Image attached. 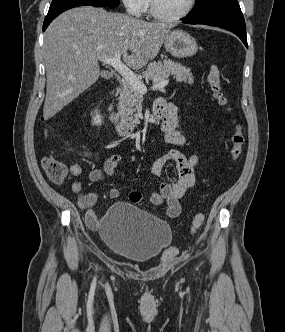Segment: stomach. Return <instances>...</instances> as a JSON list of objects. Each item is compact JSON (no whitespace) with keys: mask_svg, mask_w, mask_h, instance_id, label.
I'll return each mask as SVG.
<instances>
[{"mask_svg":"<svg viewBox=\"0 0 285 332\" xmlns=\"http://www.w3.org/2000/svg\"><path fill=\"white\" fill-rule=\"evenodd\" d=\"M164 45L166 50L177 58L191 57L198 50L195 39L182 30L169 33L164 41Z\"/></svg>","mask_w":285,"mask_h":332,"instance_id":"obj_1","label":"stomach"}]
</instances>
